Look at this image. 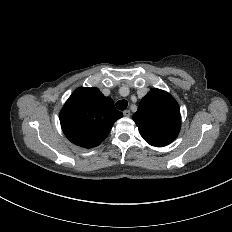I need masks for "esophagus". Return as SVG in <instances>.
<instances>
[{"instance_id": "1", "label": "esophagus", "mask_w": 232, "mask_h": 232, "mask_svg": "<svg viewBox=\"0 0 232 232\" xmlns=\"http://www.w3.org/2000/svg\"><path fill=\"white\" fill-rule=\"evenodd\" d=\"M130 114H131L130 110H125V111H123V115H124L125 117H130Z\"/></svg>"}]
</instances>
